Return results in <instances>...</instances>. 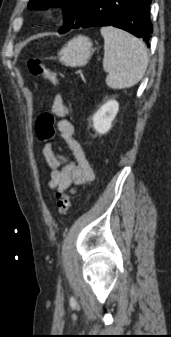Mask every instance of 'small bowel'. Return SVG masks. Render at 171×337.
Masks as SVG:
<instances>
[{
  "label": "small bowel",
  "instance_id": "small-bowel-1",
  "mask_svg": "<svg viewBox=\"0 0 171 337\" xmlns=\"http://www.w3.org/2000/svg\"><path fill=\"white\" fill-rule=\"evenodd\" d=\"M52 112L59 119L57 129L73 153V159L63 154V148L54 150L49 142L44 145L42 153L51 169L48 186L56 192L74 193L77 186L92 181L95 174L81 144L74 137V126L65 118L69 114V109L61 95L55 96Z\"/></svg>",
  "mask_w": 171,
  "mask_h": 337
}]
</instances>
